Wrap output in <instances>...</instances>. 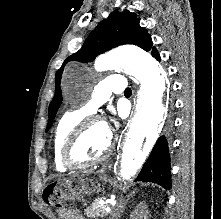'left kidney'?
Segmentation results:
<instances>
[{"mask_svg": "<svg viewBox=\"0 0 221 219\" xmlns=\"http://www.w3.org/2000/svg\"><path fill=\"white\" fill-rule=\"evenodd\" d=\"M147 216L146 205L141 202L131 217L132 219H147Z\"/></svg>", "mask_w": 221, "mask_h": 219, "instance_id": "left-kidney-1", "label": "left kidney"}]
</instances>
